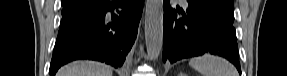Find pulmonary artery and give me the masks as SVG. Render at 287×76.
<instances>
[{"instance_id":"pulmonary-artery-1","label":"pulmonary artery","mask_w":287,"mask_h":76,"mask_svg":"<svg viewBox=\"0 0 287 76\" xmlns=\"http://www.w3.org/2000/svg\"><path fill=\"white\" fill-rule=\"evenodd\" d=\"M181 2H183V3H186L187 1L186 0H180Z\"/></svg>"}]
</instances>
